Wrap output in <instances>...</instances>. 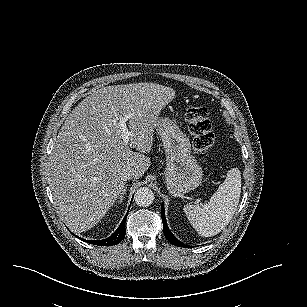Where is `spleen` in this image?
<instances>
[{
    "instance_id": "3e777b00",
    "label": "spleen",
    "mask_w": 307,
    "mask_h": 307,
    "mask_svg": "<svg viewBox=\"0 0 307 307\" xmlns=\"http://www.w3.org/2000/svg\"><path fill=\"white\" fill-rule=\"evenodd\" d=\"M241 186V172L233 168L208 203L203 206L194 203L184 206L188 220L201 236L213 237L226 228L237 210Z\"/></svg>"
}]
</instances>
